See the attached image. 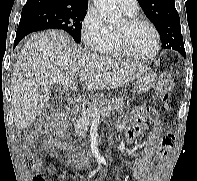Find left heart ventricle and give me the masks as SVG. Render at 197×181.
<instances>
[{
    "label": "left heart ventricle",
    "mask_w": 197,
    "mask_h": 181,
    "mask_svg": "<svg viewBox=\"0 0 197 181\" xmlns=\"http://www.w3.org/2000/svg\"><path fill=\"white\" fill-rule=\"evenodd\" d=\"M116 31L125 35L130 50L138 55H148L155 47V36L147 25L139 24L127 28L123 21L116 27Z\"/></svg>",
    "instance_id": "left-heart-ventricle-1"
}]
</instances>
